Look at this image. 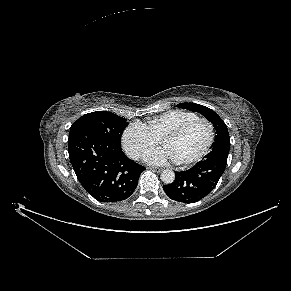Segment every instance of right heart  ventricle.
Masks as SVG:
<instances>
[{
    "mask_svg": "<svg viewBox=\"0 0 291 291\" xmlns=\"http://www.w3.org/2000/svg\"><path fill=\"white\" fill-rule=\"evenodd\" d=\"M198 117L196 113L190 111L169 110L150 119L147 127L161 140L168 132Z\"/></svg>",
    "mask_w": 291,
    "mask_h": 291,
    "instance_id": "right-heart-ventricle-1",
    "label": "right heart ventricle"
}]
</instances>
